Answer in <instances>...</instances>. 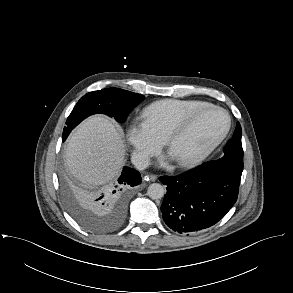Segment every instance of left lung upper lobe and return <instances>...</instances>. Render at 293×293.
Returning a JSON list of instances; mask_svg holds the SVG:
<instances>
[{"label": "left lung upper lobe", "instance_id": "left-lung-upper-lobe-1", "mask_svg": "<svg viewBox=\"0 0 293 293\" xmlns=\"http://www.w3.org/2000/svg\"><path fill=\"white\" fill-rule=\"evenodd\" d=\"M242 130L239 123L236 125L235 132L232 138L224 147V156L217 162L224 163L235 169L236 171H243V149L241 143Z\"/></svg>", "mask_w": 293, "mask_h": 293}]
</instances>
